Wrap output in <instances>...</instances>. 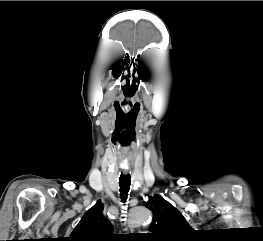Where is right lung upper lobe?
I'll return each instance as SVG.
<instances>
[{
  "mask_svg": "<svg viewBox=\"0 0 263 241\" xmlns=\"http://www.w3.org/2000/svg\"><path fill=\"white\" fill-rule=\"evenodd\" d=\"M101 201L90 208L72 231L68 241H110L112 226L104 219Z\"/></svg>",
  "mask_w": 263,
  "mask_h": 241,
  "instance_id": "right-lung-upper-lobe-1",
  "label": "right lung upper lobe"
}]
</instances>
